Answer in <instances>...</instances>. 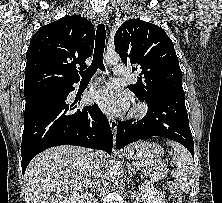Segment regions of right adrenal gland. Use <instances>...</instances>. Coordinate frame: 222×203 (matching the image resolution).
<instances>
[{
    "mask_svg": "<svg viewBox=\"0 0 222 203\" xmlns=\"http://www.w3.org/2000/svg\"><path fill=\"white\" fill-rule=\"evenodd\" d=\"M86 187H89V188H94L95 186H94V182H89L88 184H87V186Z\"/></svg>",
    "mask_w": 222,
    "mask_h": 203,
    "instance_id": "obj_1",
    "label": "right adrenal gland"
}]
</instances>
